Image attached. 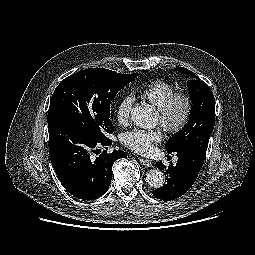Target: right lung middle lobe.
Instances as JSON below:
<instances>
[{
    "instance_id": "1",
    "label": "right lung middle lobe",
    "mask_w": 255,
    "mask_h": 255,
    "mask_svg": "<svg viewBox=\"0 0 255 255\" xmlns=\"http://www.w3.org/2000/svg\"><path fill=\"white\" fill-rule=\"evenodd\" d=\"M103 68H88L65 78L55 89L48 111V126L66 122L95 138L113 133L110 103L136 78Z\"/></svg>"
}]
</instances>
